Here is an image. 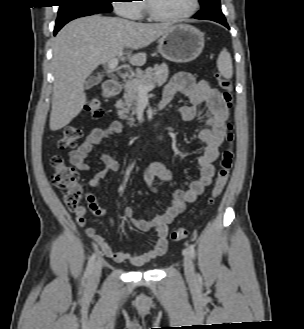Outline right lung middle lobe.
I'll use <instances>...</instances> for the list:
<instances>
[{
    "label": "right lung middle lobe",
    "instance_id": "obj_1",
    "mask_svg": "<svg viewBox=\"0 0 304 329\" xmlns=\"http://www.w3.org/2000/svg\"><path fill=\"white\" fill-rule=\"evenodd\" d=\"M60 3L56 25L73 17L112 11V0H58Z\"/></svg>",
    "mask_w": 304,
    "mask_h": 329
}]
</instances>
